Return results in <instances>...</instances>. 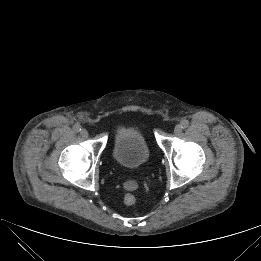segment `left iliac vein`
I'll return each instance as SVG.
<instances>
[{"instance_id": "obj_1", "label": "left iliac vein", "mask_w": 261, "mask_h": 261, "mask_svg": "<svg viewBox=\"0 0 261 261\" xmlns=\"http://www.w3.org/2000/svg\"><path fill=\"white\" fill-rule=\"evenodd\" d=\"M182 131L181 125H176L174 127V133L179 134Z\"/></svg>"}]
</instances>
